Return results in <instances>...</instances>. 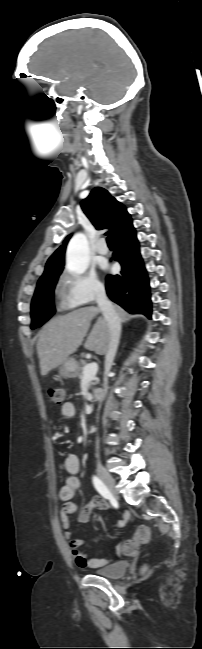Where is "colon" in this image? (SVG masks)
Masks as SVG:
<instances>
[{"label":"colon","instance_id":"colon-1","mask_svg":"<svg viewBox=\"0 0 202 649\" xmlns=\"http://www.w3.org/2000/svg\"><path fill=\"white\" fill-rule=\"evenodd\" d=\"M48 396L51 401L56 404H61L65 398V392L60 387H52L48 389ZM150 539V531L147 526H139L134 532L133 536L126 541L123 546V551L126 554H133L137 551L140 545L146 544Z\"/></svg>","mask_w":202,"mask_h":649}]
</instances>
